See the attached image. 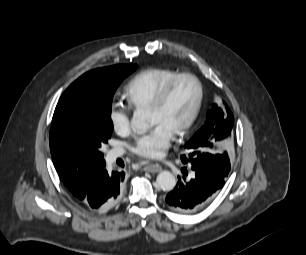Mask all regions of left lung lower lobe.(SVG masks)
Segmentation results:
<instances>
[{"mask_svg": "<svg viewBox=\"0 0 306 255\" xmlns=\"http://www.w3.org/2000/svg\"><path fill=\"white\" fill-rule=\"evenodd\" d=\"M184 161L193 171L191 178H186V167L181 169L184 176L178 177L176 187L166 196V203L173 210L190 214L203 209L220 192L225 176L215 169L203 164Z\"/></svg>", "mask_w": 306, "mask_h": 255, "instance_id": "obj_1", "label": "left lung lower lobe"}]
</instances>
